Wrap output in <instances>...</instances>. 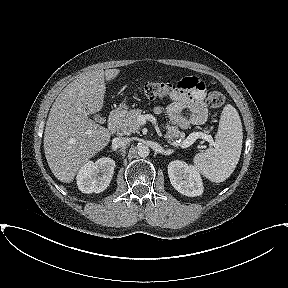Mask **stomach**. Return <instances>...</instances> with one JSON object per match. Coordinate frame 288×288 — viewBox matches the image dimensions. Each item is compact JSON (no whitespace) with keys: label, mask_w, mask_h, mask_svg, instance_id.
I'll list each match as a JSON object with an SVG mask.
<instances>
[{"label":"stomach","mask_w":288,"mask_h":288,"mask_svg":"<svg viewBox=\"0 0 288 288\" xmlns=\"http://www.w3.org/2000/svg\"><path fill=\"white\" fill-rule=\"evenodd\" d=\"M127 108H128V106L126 105V103H121L118 107V110L121 112H124L127 110Z\"/></svg>","instance_id":"0dacf381"}]
</instances>
